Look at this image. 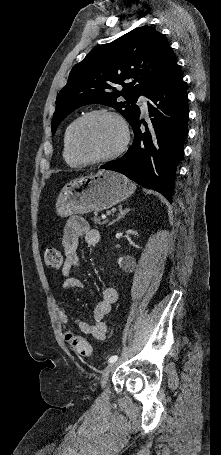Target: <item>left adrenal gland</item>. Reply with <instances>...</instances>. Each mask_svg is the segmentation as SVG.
<instances>
[{
    "mask_svg": "<svg viewBox=\"0 0 221 455\" xmlns=\"http://www.w3.org/2000/svg\"><path fill=\"white\" fill-rule=\"evenodd\" d=\"M129 210H130L129 208L123 209V207L120 206L118 216L116 217V219H114L112 222H110L109 225H112V224L118 222L120 219L124 218V216L129 212Z\"/></svg>",
    "mask_w": 221,
    "mask_h": 455,
    "instance_id": "obj_1",
    "label": "left adrenal gland"
}]
</instances>
